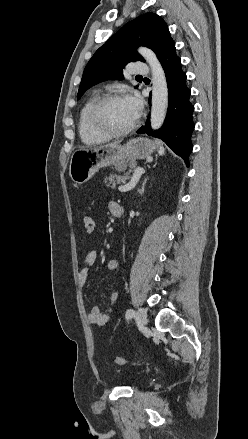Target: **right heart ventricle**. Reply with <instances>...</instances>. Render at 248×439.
<instances>
[{
    "instance_id": "e07e8e85",
    "label": "right heart ventricle",
    "mask_w": 248,
    "mask_h": 439,
    "mask_svg": "<svg viewBox=\"0 0 248 439\" xmlns=\"http://www.w3.org/2000/svg\"><path fill=\"white\" fill-rule=\"evenodd\" d=\"M99 98L97 94L91 95L83 104L78 117V132L81 141L88 146L104 143L110 137L95 131L89 122V112L93 104Z\"/></svg>"
}]
</instances>
